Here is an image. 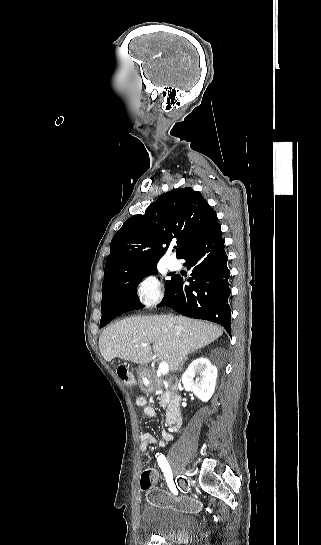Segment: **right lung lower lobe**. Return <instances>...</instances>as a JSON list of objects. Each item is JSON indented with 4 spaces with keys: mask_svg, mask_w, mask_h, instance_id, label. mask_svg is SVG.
Wrapping results in <instances>:
<instances>
[{
    "mask_svg": "<svg viewBox=\"0 0 321 545\" xmlns=\"http://www.w3.org/2000/svg\"><path fill=\"white\" fill-rule=\"evenodd\" d=\"M221 234L219 225L187 253L185 266L193 267L190 285L185 286L184 278L174 275L158 307L168 306L182 315L219 323L231 334L230 270ZM139 308L143 305L131 295H111L102 305L103 327L122 313Z\"/></svg>",
    "mask_w": 321,
    "mask_h": 545,
    "instance_id": "1",
    "label": "right lung lower lobe"
}]
</instances>
